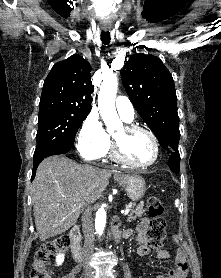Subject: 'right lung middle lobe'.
Returning a JSON list of instances; mask_svg holds the SVG:
<instances>
[{"instance_id":"dd1d6c3e","label":"right lung middle lobe","mask_w":221,"mask_h":278,"mask_svg":"<svg viewBox=\"0 0 221 278\" xmlns=\"http://www.w3.org/2000/svg\"><path fill=\"white\" fill-rule=\"evenodd\" d=\"M88 113L40 110L35 152L55 143H74L75 135Z\"/></svg>"}]
</instances>
